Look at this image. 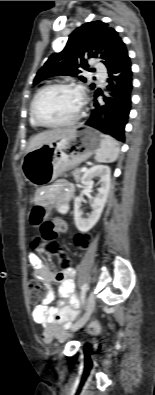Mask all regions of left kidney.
Segmentation results:
<instances>
[{
  "mask_svg": "<svg viewBox=\"0 0 155 395\" xmlns=\"http://www.w3.org/2000/svg\"><path fill=\"white\" fill-rule=\"evenodd\" d=\"M110 168L106 165H95L88 169L82 179L81 183L84 187H89L93 185V178L99 177L101 187L98 189V194L92 201L93 211L88 218L82 217L81 210V197H76L74 200V220L75 225L79 231L87 232L89 231L99 220L101 213L104 209L107 196L110 190Z\"/></svg>",
  "mask_w": 155,
  "mask_h": 395,
  "instance_id": "obj_1",
  "label": "left kidney"
}]
</instances>
